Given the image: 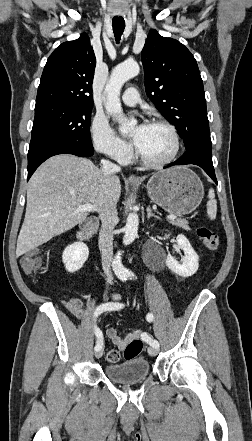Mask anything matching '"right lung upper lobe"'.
I'll use <instances>...</instances> for the list:
<instances>
[{
    "instance_id": "right-lung-upper-lobe-1",
    "label": "right lung upper lobe",
    "mask_w": 252,
    "mask_h": 441,
    "mask_svg": "<svg viewBox=\"0 0 252 441\" xmlns=\"http://www.w3.org/2000/svg\"><path fill=\"white\" fill-rule=\"evenodd\" d=\"M96 58L87 34L62 43L50 55L38 87L36 105L92 106Z\"/></svg>"
}]
</instances>
